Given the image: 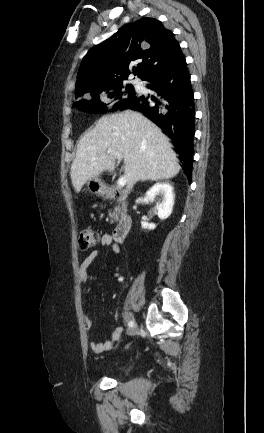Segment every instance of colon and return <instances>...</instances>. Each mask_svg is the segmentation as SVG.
I'll list each match as a JSON object with an SVG mask.
<instances>
[{"mask_svg":"<svg viewBox=\"0 0 264 433\" xmlns=\"http://www.w3.org/2000/svg\"><path fill=\"white\" fill-rule=\"evenodd\" d=\"M101 240L100 235L91 228H85L81 231L79 236V248L81 250H88L96 246Z\"/></svg>","mask_w":264,"mask_h":433,"instance_id":"colon-1","label":"colon"}]
</instances>
